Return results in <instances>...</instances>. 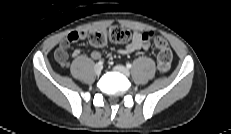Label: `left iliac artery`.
<instances>
[{"label": "left iliac artery", "mask_w": 231, "mask_h": 134, "mask_svg": "<svg viewBox=\"0 0 231 134\" xmlns=\"http://www.w3.org/2000/svg\"><path fill=\"white\" fill-rule=\"evenodd\" d=\"M126 67H127L128 69H130V68L132 67V64H131V63H127V64H126Z\"/></svg>", "instance_id": "1"}]
</instances>
